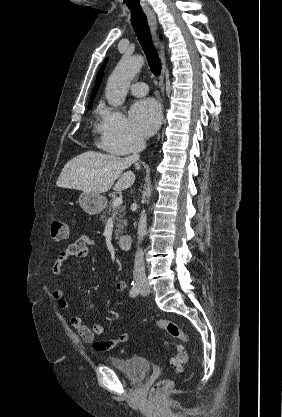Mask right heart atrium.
<instances>
[{"label":"right heart atrium","mask_w":282,"mask_h":417,"mask_svg":"<svg viewBox=\"0 0 282 417\" xmlns=\"http://www.w3.org/2000/svg\"><path fill=\"white\" fill-rule=\"evenodd\" d=\"M97 130L101 138V147L110 153L128 155L141 147L142 140L119 110H108Z\"/></svg>","instance_id":"d8ad5b80"}]
</instances>
